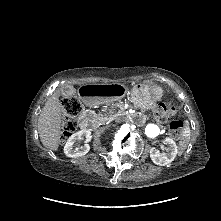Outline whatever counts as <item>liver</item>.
<instances>
[{
  "mask_svg": "<svg viewBox=\"0 0 221 221\" xmlns=\"http://www.w3.org/2000/svg\"><path fill=\"white\" fill-rule=\"evenodd\" d=\"M64 108L59 101V93H54L46 102L38 118V132L42 144L53 151L59 147L63 129Z\"/></svg>",
  "mask_w": 221,
  "mask_h": 221,
  "instance_id": "obj_1",
  "label": "liver"
}]
</instances>
